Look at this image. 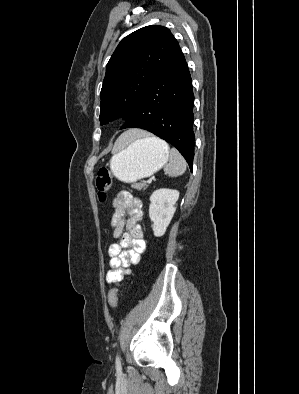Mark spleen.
<instances>
[{
	"label": "spleen",
	"mask_w": 299,
	"mask_h": 394,
	"mask_svg": "<svg viewBox=\"0 0 299 394\" xmlns=\"http://www.w3.org/2000/svg\"><path fill=\"white\" fill-rule=\"evenodd\" d=\"M155 144H160L169 149L166 142L162 141L156 137L146 138ZM186 161L184 157L180 154V152L176 148H172L169 154V163L165 165L164 172L167 173L170 177H177L182 175L186 171Z\"/></svg>",
	"instance_id": "3e777b00"
}]
</instances>
